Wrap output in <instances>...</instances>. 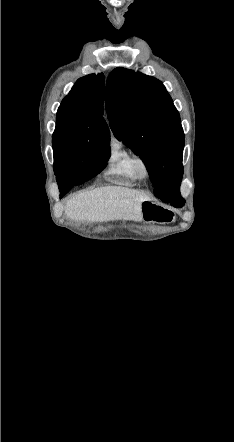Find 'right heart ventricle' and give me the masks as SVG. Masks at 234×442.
I'll list each match as a JSON object with an SVG mask.
<instances>
[{
    "label": "right heart ventricle",
    "mask_w": 234,
    "mask_h": 442,
    "mask_svg": "<svg viewBox=\"0 0 234 442\" xmlns=\"http://www.w3.org/2000/svg\"><path fill=\"white\" fill-rule=\"evenodd\" d=\"M133 153L119 139H113L105 162L104 175L116 182L134 184L137 182L132 161Z\"/></svg>",
    "instance_id": "e07e8e85"
}]
</instances>
